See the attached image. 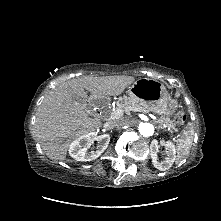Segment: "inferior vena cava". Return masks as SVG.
I'll use <instances>...</instances> for the list:
<instances>
[{
	"label": "inferior vena cava",
	"mask_w": 221,
	"mask_h": 221,
	"mask_svg": "<svg viewBox=\"0 0 221 221\" xmlns=\"http://www.w3.org/2000/svg\"><path fill=\"white\" fill-rule=\"evenodd\" d=\"M112 125L115 127H122V126L126 125V120H124V119L117 120Z\"/></svg>",
	"instance_id": "1"
}]
</instances>
